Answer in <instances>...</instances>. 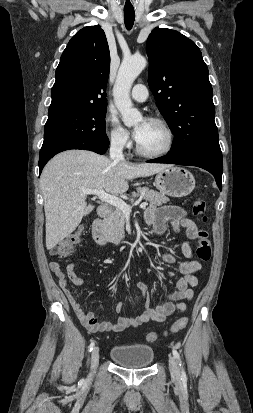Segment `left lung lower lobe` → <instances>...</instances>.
<instances>
[{"label":"left lung lower lobe","mask_w":253,"mask_h":413,"mask_svg":"<svg viewBox=\"0 0 253 413\" xmlns=\"http://www.w3.org/2000/svg\"><path fill=\"white\" fill-rule=\"evenodd\" d=\"M154 163H170L187 166H197L209 171L216 180L219 189H222V153L213 149H197L183 153L168 154L163 157L149 160Z\"/></svg>","instance_id":"left-lung-lower-lobe-1"}]
</instances>
